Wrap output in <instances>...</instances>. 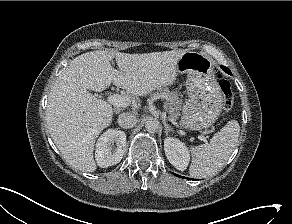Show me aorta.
<instances>
[{
    "label": "aorta",
    "mask_w": 292,
    "mask_h": 224,
    "mask_svg": "<svg viewBox=\"0 0 292 224\" xmlns=\"http://www.w3.org/2000/svg\"><path fill=\"white\" fill-rule=\"evenodd\" d=\"M145 128L148 132L154 133L159 128V121L157 119H154V118H149L146 121Z\"/></svg>",
    "instance_id": "1"
}]
</instances>
